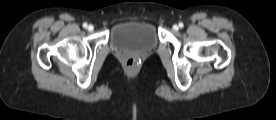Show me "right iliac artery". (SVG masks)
<instances>
[{
	"instance_id": "right-iliac-artery-1",
	"label": "right iliac artery",
	"mask_w": 276,
	"mask_h": 120,
	"mask_svg": "<svg viewBox=\"0 0 276 120\" xmlns=\"http://www.w3.org/2000/svg\"><path fill=\"white\" fill-rule=\"evenodd\" d=\"M87 26H88L87 23H83L84 28H87Z\"/></svg>"
}]
</instances>
